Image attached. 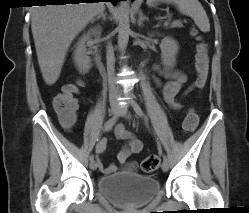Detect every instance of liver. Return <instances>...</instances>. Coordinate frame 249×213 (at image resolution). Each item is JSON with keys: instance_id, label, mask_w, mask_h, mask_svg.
<instances>
[{"instance_id": "6515ba94", "label": "liver", "mask_w": 249, "mask_h": 213, "mask_svg": "<svg viewBox=\"0 0 249 213\" xmlns=\"http://www.w3.org/2000/svg\"><path fill=\"white\" fill-rule=\"evenodd\" d=\"M104 10L103 2L32 7L31 30L46 84L58 80L72 41Z\"/></svg>"}]
</instances>
